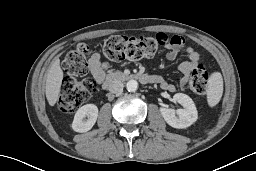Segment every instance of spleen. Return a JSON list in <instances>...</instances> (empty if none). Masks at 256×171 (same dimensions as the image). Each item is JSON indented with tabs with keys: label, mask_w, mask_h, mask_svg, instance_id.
<instances>
[{
	"label": "spleen",
	"mask_w": 256,
	"mask_h": 171,
	"mask_svg": "<svg viewBox=\"0 0 256 171\" xmlns=\"http://www.w3.org/2000/svg\"><path fill=\"white\" fill-rule=\"evenodd\" d=\"M223 94V79L219 72L211 74L207 84V102L210 107L216 106Z\"/></svg>",
	"instance_id": "1"
}]
</instances>
